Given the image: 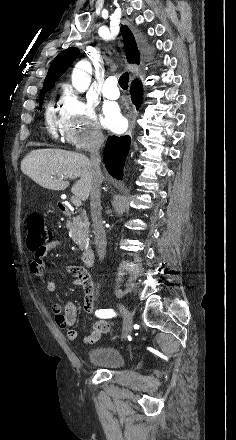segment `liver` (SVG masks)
<instances>
[{
	"label": "liver",
	"mask_w": 236,
	"mask_h": 440,
	"mask_svg": "<svg viewBox=\"0 0 236 440\" xmlns=\"http://www.w3.org/2000/svg\"><path fill=\"white\" fill-rule=\"evenodd\" d=\"M22 172L46 189L61 191L69 186L67 179L79 180L71 191L86 201L93 185L91 161L81 153L60 149H36L21 162Z\"/></svg>",
	"instance_id": "1"
}]
</instances>
